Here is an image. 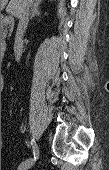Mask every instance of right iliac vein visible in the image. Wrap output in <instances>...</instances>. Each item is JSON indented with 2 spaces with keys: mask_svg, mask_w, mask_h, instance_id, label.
<instances>
[{
  "mask_svg": "<svg viewBox=\"0 0 109 170\" xmlns=\"http://www.w3.org/2000/svg\"><path fill=\"white\" fill-rule=\"evenodd\" d=\"M37 159V158H36ZM29 161H25L22 164L19 165L18 170H28L34 163H35V158L28 159Z\"/></svg>",
  "mask_w": 109,
  "mask_h": 170,
  "instance_id": "63e3f726",
  "label": "right iliac vein"
}]
</instances>
